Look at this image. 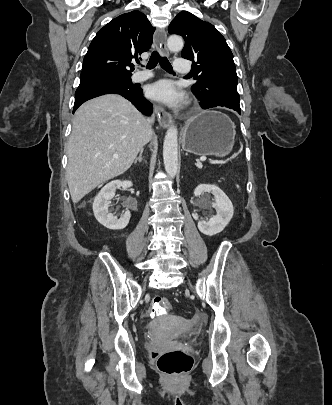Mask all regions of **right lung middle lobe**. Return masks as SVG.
Returning a JSON list of instances; mask_svg holds the SVG:
<instances>
[{
  "label": "right lung middle lobe",
  "mask_w": 332,
  "mask_h": 405,
  "mask_svg": "<svg viewBox=\"0 0 332 405\" xmlns=\"http://www.w3.org/2000/svg\"><path fill=\"white\" fill-rule=\"evenodd\" d=\"M98 83H108L124 86L127 88L134 87L131 81V76L117 75V74H97L89 76H80L79 87H84L87 85L98 84Z\"/></svg>",
  "instance_id": "1"
}]
</instances>
